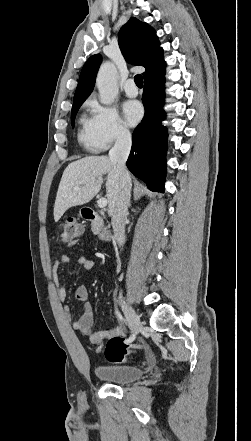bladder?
Segmentation results:
<instances>
[{"instance_id": "obj_1", "label": "bladder", "mask_w": 251, "mask_h": 441, "mask_svg": "<svg viewBox=\"0 0 251 441\" xmlns=\"http://www.w3.org/2000/svg\"><path fill=\"white\" fill-rule=\"evenodd\" d=\"M94 373L98 379L111 384H127L143 376L140 368L128 365H98Z\"/></svg>"}]
</instances>
